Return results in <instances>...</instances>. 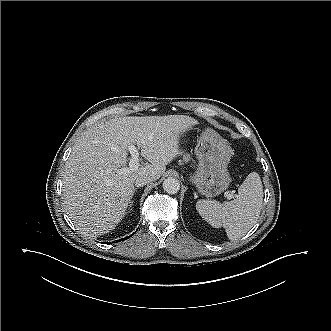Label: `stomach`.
I'll return each mask as SVG.
<instances>
[{
	"label": "stomach",
	"mask_w": 331,
	"mask_h": 331,
	"mask_svg": "<svg viewBox=\"0 0 331 331\" xmlns=\"http://www.w3.org/2000/svg\"><path fill=\"white\" fill-rule=\"evenodd\" d=\"M199 159L197 171L191 180L198 192L206 197H215L230 185L228 164L232 150L228 142L212 130L202 133L196 146Z\"/></svg>",
	"instance_id": "1"
}]
</instances>
